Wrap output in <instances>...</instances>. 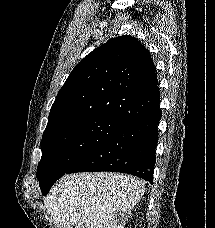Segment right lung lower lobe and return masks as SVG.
<instances>
[{
    "label": "right lung lower lobe",
    "mask_w": 215,
    "mask_h": 228,
    "mask_svg": "<svg viewBox=\"0 0 215 228\" xmlns=\"http://www.w3.org/2000/svg\"><path fill=\"white\" fill-rule=\"evenodd\" d=\"M159 106L127 121L102 141L66 174L111 171L132 174L150 183L153 181L155 149L158 142Z\"/></svg>",
    "instance_id": "1"
}]
</instances>
